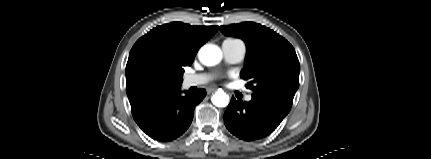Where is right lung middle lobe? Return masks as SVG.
Segmentation results:
<instances>
[{
  "label": "right lung middle lobe",
  "instance_id": "1",
  "mask_svg": "<svg viewBox=\"0 0 431 159\" xmlns=\"http://www.w3.org/2000/svg\"><path fill=\"white\" fill-rule=\"evenodd\" d=\"M161 70L165 72L167 75L174 78L175 82L178 85H181L182 83V74H183V67L182 66H160Z\"/></svg>",
  "mask_w": 431,
  "mask_h": 159
}]
</instances>
